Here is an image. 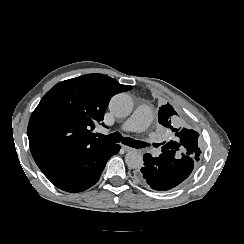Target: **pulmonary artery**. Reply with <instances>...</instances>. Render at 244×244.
<instances>
[{"label":"pulmonary artery","instance_id":"obj_1","mask_svg":"<svg viewBox=\"0 0 244 244\" xmlns=\"http://www.w3.org/2000/svg\"><path fill=\"white\" fill-rule=\"evenodd\" d=\"M151 113L146 108L136 109L126 121V128L131 133H138L149 126Z\"/></svg>","mask_w":244,"mask_h":244}]
</instances>
